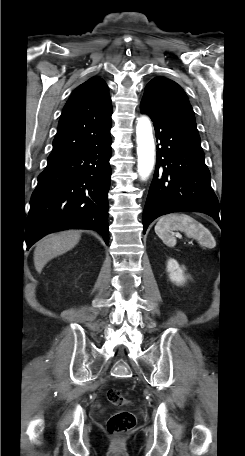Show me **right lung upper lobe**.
<instances>
[{
  "mask_svg": "<svg viewBox=\"0 0 245 456\" xmlns=\"http://www.w3.org/2000/svg\"><path fill=\"white\" fill-rule=\"evenodd\" d=\"M112 104L107 84L92 77L78 86L64 106L48 162L59 160L91 146L111 129Z\"/></svg>",
  "mask_w": 245,
  "mask_h": 456,
  "instance_id": "1",
  "label": "right lung upper lobe"
}]
</instances>
